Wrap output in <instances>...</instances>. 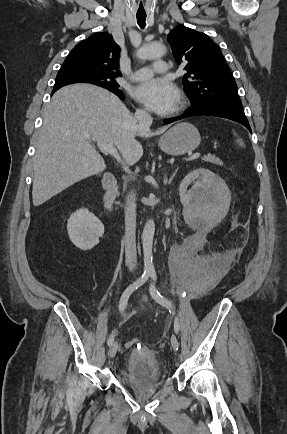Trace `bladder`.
Returning <instances> with one entry per match:
<instances>
[{"instance_id":"bladder-1","label":"bladder","mask_w":287,"mask_h":434,"mask_svg":"<svg viewBox=\"0 0 287 434\" xmlns=\"http://www.w3.org/2000/svg\"><path fill=\"white\" fill-rule=\"evenodd\" d=\"M120 377L127 385L143 387L159 382L162 370L157 357L152 352H132L124 368L120 370Z\"/></svg>"}]
</instances>
